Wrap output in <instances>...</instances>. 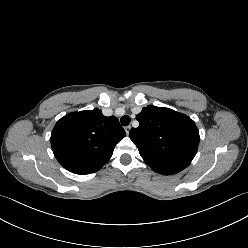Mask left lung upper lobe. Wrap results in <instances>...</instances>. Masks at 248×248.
<instances>
[{
	"mask_svg": "<svg viewBox=\"0 0 248 248\" xmlns=\"http://www.w3.org/2000/svg\"><path fill=\"white\" fill-rule=\"evenodd\" d=\"M137 128L129 132L144 161L155 171L171 175L186 168L196 155L198 129L188 116L149 105L136 116Z\"/></svg>",
	"mask_w": 248,
	"mask_h": 248,
	"instance_id": "5c2ea615",
	"label": "left lung upper lobe"
}]
</instances>
